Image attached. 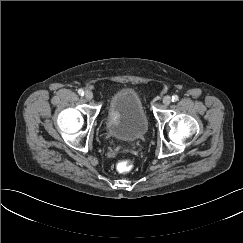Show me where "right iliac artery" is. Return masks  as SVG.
I'll return each mask as SVG.
<instances>
[{"label":"right iliac artery","instance_id":"1","mask_svg":"<svg viewBox=\"0 0 243 243\" xmlns=\"http://www.w3.org/2000/svg\"><path fill=\"white\" fill-rule=\"evenodd\" d=\"M78 94L81 95V96H83L84 95V91L82 89H79L78 90Z\"/></svg>","mask_w":243,"mask_h":243}]
</instances>
